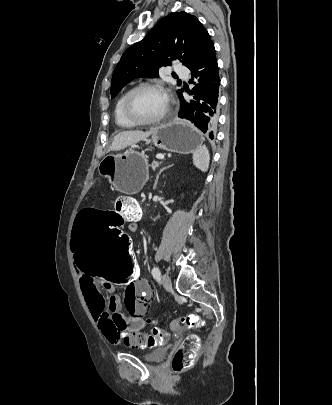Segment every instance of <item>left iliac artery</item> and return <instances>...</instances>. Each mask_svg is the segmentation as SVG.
Instances as JSON below:
<instances>
[{"mask_svg": "<svg viewBox=\"0 0 332 405\" xmlns=\"http://www.w3.org/2000/svg\"><path fill=\"white\" fill-rule=\"evenodd\" d=\"M152 276H153L154 279L160 280L161 272H160V269L158 267H153Z\"/></svg>", "mask_w": 332, "mask_h": 405, "instance_id": "obj_1", "label": "left iliac artery"}]
</instances>
